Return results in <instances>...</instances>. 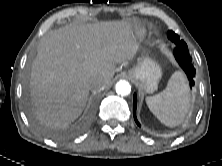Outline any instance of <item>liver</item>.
<instances>
[{
  "label": "liver",
  "mask_w": 222,
  "mask_h": 166,
  "mask_svg": "<svg viewBox=\"0 0 222 166\" xmlns=\"http://www.w3.org/2000/svg\"><path fill=\"white\" fill-rule=\"evenodd\" d=\"M133 24H72L45 34L32 63L30 91L38 120L65 129L83 112L94 83L108 85L115 67L135 57Z\"/></svg>",
  "instance_id": "6515ba94"
}]
</instances>
